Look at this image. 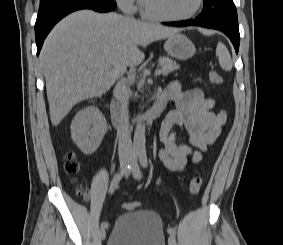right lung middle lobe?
I'll list each match as a JSON object with an SVG mask.
<instances>
[{"mask_svg":"<svg viewBox=\"0 0 283 245\" xmlns=\"http://www.w3.org/2000/svg\"><path fill=\"white\" fill-rule=\"evenodd\" d=\"M52 1H55V0H40V5H43V4L52 2Z\"/></svg>","mask_w":283,"mask_h":245,"instance_id":"1","label":"right lung middle lobe"}]
</instances>
